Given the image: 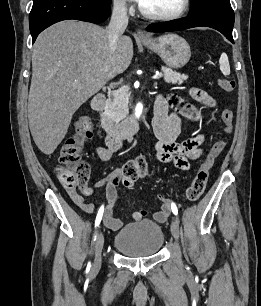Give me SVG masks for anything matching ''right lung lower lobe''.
<instances>
[{
	"mask_svg": "<svg viewBox=\"0 0 261 306\" xmlns=\"http://www.w3.org/2000/svg\"><path fill=\"white\" fill-rule=\"evenodd\" d=\"M109 14L110 5L97 0H33L29 15L32 44L40 32L59 21L76 19L101 23Z\"/></svg>",
	"mask_w": 261,
	"mask_h": 306,
	"instance_id": "obj_1",
	"label": "right lung lower lobe"
}]
</instances>
